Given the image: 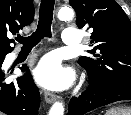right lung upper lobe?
I'll list each match as a JSON object with an SVG mask.
<instances>
[{
	"mask_svg": "<svg viewBox=\"0 0 131 115\" xmlns=\"http://www.w3.org/2000/svg\"><path fill=\"white\" fill-rule=\"evenodd\" d=\"M34 6L32 0H0V59L13 51L12 39L24 26L32 23Z\"/></svg>",
	"mask_w": 131,
	"mask_h": 115,
	"instance_id": "obj_1",
	"label": "right lung upper lobe"
}]
</instances>
